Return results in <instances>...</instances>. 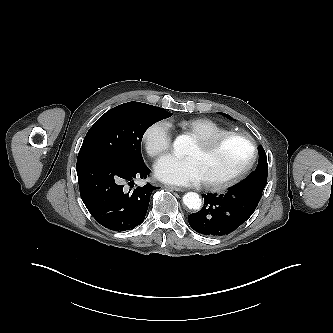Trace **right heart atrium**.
<instances>
[{
    "label": "right heart atrium",
    "mask_w": 333,
    "mask_h": 333,
    "mask_svg": "<svg viewBox=\"0 0 333 333\" xmlns=\"http://www.w3.org/2000/svg\"><path fill=\"white\" fill-rule=\"evenodd\" d=\"M147 153L151 157H159L167 152L172 144L171 126L166 120L151 123L142 136Z\"/></svg>",
    "instance_id": "1"
}]
</instances>
